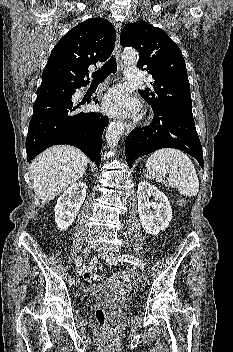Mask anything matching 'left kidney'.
I'll list each match as a JSON object with an SVG mask.
<instances>
[{
	"label": "left kidney",
	"mask_w": 233,
	"mask_h": 352,
	"mask_svg": "<svg viewBox=\"0 0 233 352\" xmlns=\"http://www.w3.org/2000/svg\"><path fill=\"white\" fill-rule=\"evenodd\" d=\"M155 202L150 203L149 197ZM138 214L143 229L151 235H157L164 230L172 219V209L168 198L157 187L147 181L138 185ZM153 208V211L151 210Z\"/></svg>",
	"instance_id": "left-kidney-1"
}]
</instances>
